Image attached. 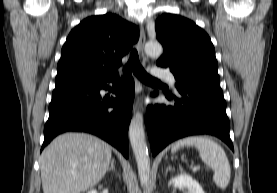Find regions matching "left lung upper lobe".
<instances>
[{
  "mask_svg": "<svg viewBox=\"0 0 277 193\" xmlns=\"http://www.w3.org/2000/svg\"><path fill=\"white\" fill-rule=\"evenodd\" d=\"M155 30L164 49L156 64L170 68L176 87L220 82L215 49L203 29L187 18L166 13L156 20Z\"/></svg>",
  "mask_w": 277,
  "mask_h": 193,
  "instance_id": "left-lung-upper-lobe-1",
  "label": "left lung upper lobe"
}]
</instances>
